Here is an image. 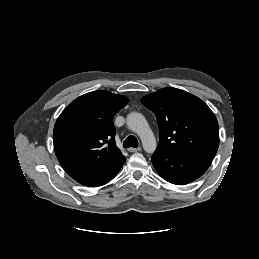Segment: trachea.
<instances>
[{"label": "trachea", "instance_id": "trachea-1", "mask_svg": "<svg viewBox=\"0 0 259 259\" xmlns=\"http://www.w3.org/2000/svg\"><path fill=\"white\" fill-rule=\"evenodd\" d=\"M124 148H129V147H133V148H137L138 147V140L136 139L135 136H128L124 143H123Z\"/></svg>", "mask_w": 259, "mask_h": 259}]
</instances>
